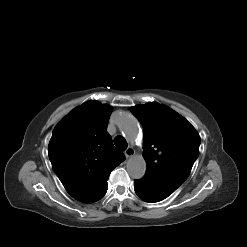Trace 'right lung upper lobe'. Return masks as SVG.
Masks as SVG:
<instances>
[{"label":"right lung upper lobe","mask_w":247,"mask_h":247,"mask_svg":"<svg viewBox=\"0 0 247 247\" xmlns=\"http://www.w3.org/2000/svg\"><path fill=\"white\" fill-rule=\"evenodd\" d=\"M111 106L88 101L55 127L48 147L52 167L67 192L87 202L125 156L107 132Z\"/></svg>","instance_id":"1"}]
</instances>
